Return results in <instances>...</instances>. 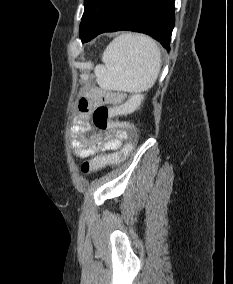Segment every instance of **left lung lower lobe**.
<instances>
[{
  "label": "left lung lower lobe",
  "instance_id": "0a47b994",
  "mask_svg": "<svg viewBox=\"0 0 233 284\" xmlns=\"http://www.w3.org/2000/svg\"><path fill=\"white\" fill-rule=\"evenodd\" d=\"M174 1L105 0L81 40L88 42L104 32L130 30L148 34L170 50L175 22Z\"/></svg>",
  "mask_w": 233,
  "mask_h": 284
}]
</instances>
